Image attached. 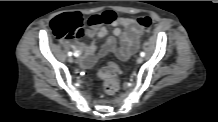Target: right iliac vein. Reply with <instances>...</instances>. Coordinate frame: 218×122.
<instances>
[{"label":"right iliac vein","instance_id":"obj_1","mask_svg":"<svg viewBox=\"0 0 218 122\" xmlns=\"http://www.w3.org/2000/svg\"><path fill=\"white\" fill-rule=\"evenodd\" d=\"M68 61H69L70 63H73V62H74V58L70 56L69 59H68Z\"/></svg>","mask_w":218,"mask_h":122}]
</instances>
